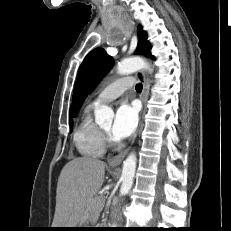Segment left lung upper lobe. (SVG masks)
Instances as JSON below:
<instances>
[{
	"label": "left lung upper lobe",
	"instance_id": "1",
	"mask_svg": "<svg viewBox=\"0 0 231 231\" xmlns=\"http://www.w3.org/2000/svg\"><path fill=\"white\" fill-rule=\"evenodd\" d=\"M150 43L147 41V34L142 30L138 31V46L136 53H142L147 57L150 54ZM113 64V59L102 48L92 50L83 60L79 67L73 96V116L80 110L83 101L86 99L92 88L105 76Z\"/></svg>",
	"mask_w": 231,
	"mask_h": 231
}]
</instances>
